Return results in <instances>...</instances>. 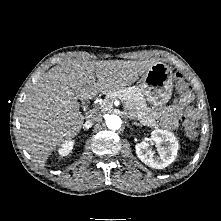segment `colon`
<instances>
[{"mask_svg":"<svg viewBox=\"0 0 221 221\" xmlns=\"http://www.w3.org/2000/svg\"><path fill=\"white\" fill-rule=\"evenodd\" d=\"M175 87L183 93L190 94V86L186 83L181 73L175 74ZM182 126L186 135L190 138L196 137V119L192 115H187L182 118Z\"/></svg>","mask_w":221,"mask_h":221,"instance_id":"colon-1","label":"colon"}]
</instances>
